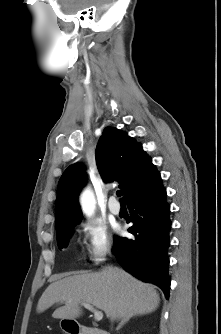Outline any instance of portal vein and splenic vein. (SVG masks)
<instances>
[{
  "mask_svg": "<svg viewBox=\"0 0 221 334\" xmlns=\"http://www.w3.org/2000/svg\"><path fill=\"white\" fill-rule=\"evenodd\" d=\"M82 305L94 314V318L96 321H100L103 319V313L95 309L91 304L82 303Z\"/></svg>",
  "mask_w": 221,
  "mask_h": 334,
  "instance_id": "obj_1",
  "label": "portal vein and splenic vein"
}]
</instances>
